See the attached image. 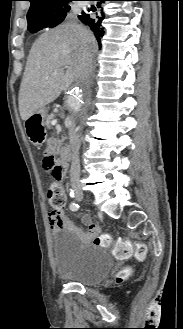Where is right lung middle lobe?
Instances as JSON below:
<instances>
[{"label": "right lung middle lobe", "instance_id": "right-lung-middle-lobe-1", "mask_svg": "<svg viewBox=\"0 0 183 329\" xmlns=\"http://www.w3.org/2000/svg\"><path fill=\"white\" fill-rule=\"evenodd\" d=\"M69 10H70L69 3L63 5L58 9L57 15L52 20L47 22H32L31 24H28V30L31 33H35L46 27H50V28L55 27L64 20V18L67 15V11Z\"/></svg>", "mask_w": 183, "mask_h": 329}]
</instances>
